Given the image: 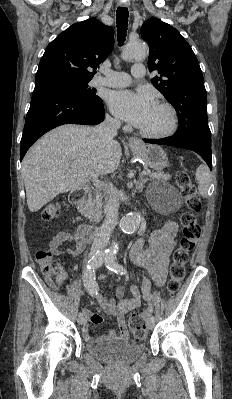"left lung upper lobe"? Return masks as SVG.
Returning a JSON list of instances; mask_svg holds the SVG:
<instances>
[{"instance_id": "1", "label": "left lung upper lobe", "mask_w": 232, "mask_h": 399, "mask_svg": "<svg viewBox=\"0 0 232 399\" xmlns=\"http://www.w3.org/2000/svg\"><path fill=\"white\" fill-rule=\"evenodd\" d=\"M150 47L148 67L157 70L151 82L177 111L176 137L211 146L207 95L199 62L186 40L171 25L151 18L141 27Z\"/></svg>"}]
</instances>
